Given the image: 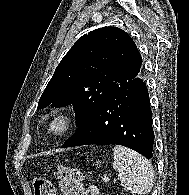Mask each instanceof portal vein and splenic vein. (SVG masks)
Listing matches in <instances>:
<instances>
[{
  "instance_id": "1",
  "label": "portal vein and splenic vein",
  "mask_w": 189,
  "mask_h": 195,
  "mask_svg": "<svg viewBox=\"0 0 189 195\" xmlns=\"http://www.w3.org/2000/svg\"><path fill=\"white\" fill-rule=\"evenodd\" d=\"M102 180H103L104 182H108V181H109V178H108L106 175H104V177L102 178Z\"/></svg>"
}]
</instances>
